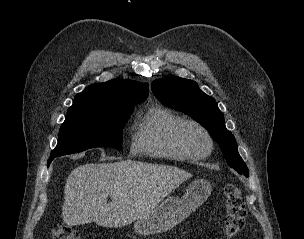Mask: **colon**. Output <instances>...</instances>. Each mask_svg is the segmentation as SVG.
I'll list each match as a JSON object with an SVG mask.
<instances>
[{"instance_id": "5ec220e1", "label": "colon", "mask_w": 304, "mask_h": 239, "mask_svg": "<svg viewBox=\"0 0 304 239\" xmlns=\"http://www.w3.org/2000/svg\"><path fill=\"white\" fill-rule=\"evenodd\" d=\"M225 216L223 221V233L225 239H233L244 227L246 209L239 186L236 183H228L224 190ZM52 239H80L78 232L60 224L52 231Z\"/></svg>"}]
</instances>
